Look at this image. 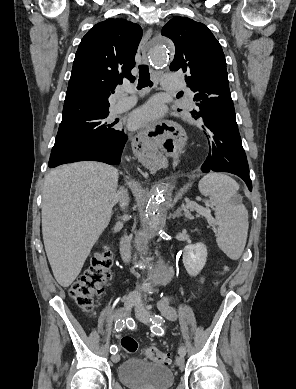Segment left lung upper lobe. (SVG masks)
Here are the masks:
<instances>
[{
    "label": "left lung upper lobe",
    "instance_id": "1",
    "mask_svg": "<svg viewBox=\"0 0 296 389\" xmlns=\"http://www.w3.org/2000/svg\"><path fill=\"white\" fill-rule=\"evenodd\" d=\"M175 44V56L171 71L186 73L187 86L195 93L194 101L199 107L192 116L202 119L209 100L229 92L226 60L221 45L208 27L187 17L171 19L161 31Z\"/></svg>",
    "mask_w": 296,
    "mask_h": 389
}]
</instances>
